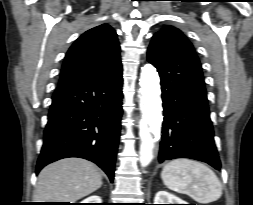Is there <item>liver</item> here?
I'll return each mask as SVG.
<instances>
[{"label": "liver", "mask_w": 253, "mask_h": 205, "mask_svg": "<svg viewBox=\"0 0 253 205\" xmlns=\"http://www.w3.org/2000/svg\"><path fill=\"white\" fill-rule=\"evenodd\" d=\"M102 185L99 168L81 158H67L46 166L38 176L35 200L74 203Z\"/></svg>", "instance_id": "1"}]
</instances>
